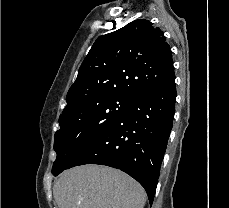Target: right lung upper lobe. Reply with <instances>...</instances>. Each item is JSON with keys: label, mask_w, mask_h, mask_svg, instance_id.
I'll return each instance as SVG.
<instances>
[{"label": "right lung upper lobe", "mask_w": 229, "mask_h": 208, "mask_svg": "<svg viewBox=\"0 0 229 208\" xmlns=\"http://www.w3.org/2000/svg\"><path fill=\"white\" fill-rule=\"evenodd\" d=\"M173 76L172 53L163 32L149 20L137 19L95 41L67 93L60 117L104 96L136 99Z\"/></svg>", "instance_id": "obj_1"}]
</instances>
